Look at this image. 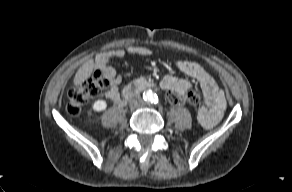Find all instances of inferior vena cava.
<instances>
[{"instance_id": "602c4592", "label": "inferior vena cava", "mask_w": 292, "mask_h": 192, "mask_svg": "<svg viewBox=\"0 0 292 192\" xmlns=\"http://www.w3.org/2000/svg\"><path fill=\"white\" fill-rule=\"evenodd\" d=\"M129 105L133 108H140L144 105V101L142 100L141 97L135 96L130 99Z\"/></svg>"}]
</instances>
